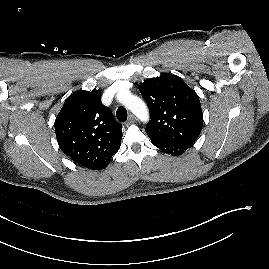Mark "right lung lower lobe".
Instances as JSON below:
<instances>
[{"mask_svg":"<svg viewBox=\"0 0 269 269\" xmlns=\"http://www.w3.org/2000/svg\"><path fill=\"white\" fill-rule=\"evenodd\" d=\"M107 164H108V163H107ZM107 164H106V165H104V166H102V167H100V168H97V170H100V169L105 168V167L107 166Z\"/></svg>","mask_w":269,"mask_h":269,"instance_id":"1","label":"right lung lower lobe"}]
</instances>
